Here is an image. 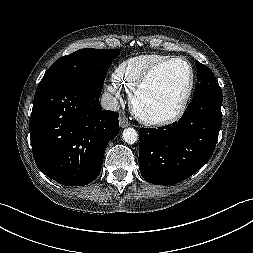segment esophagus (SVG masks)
<instances>
[{
  "mask_svg": "<svg viewBox=\"0 0 253 253\" xmlns=\"http://www.w3.org/2000/svg\"><path fill=\"white\" fill-rule=\"evenodd\" d=\"M119 123L121 128H126L130 125L128 119L125 116H120Z\"/></svg>",
  "mask_w": 253,
  "mask_h": 253,
  "instance_id": "obj_1",
  "label": "esophagus"
}]
</instances>
